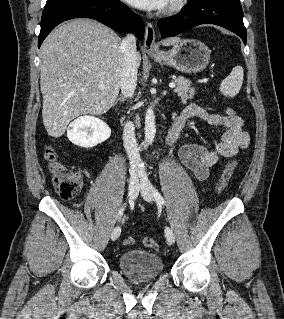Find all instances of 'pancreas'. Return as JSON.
I'll use <instances>...</instances> for the list:
<instances>
[{
	"label": "pancreas",
	"instance_id": "pancreas-1",
	"mask_svg": "<svg viewBox=\"0 0 284 319\" xmlns=\"http://www.w3.org/2000/svg\"><path fill=\"white\" fill-rule=\"evenodd\" d=\"M175 82L177 84L175 92L181 97L183 102L193 98L195 95V88L191 87V82L187 78L179 76L176 78Z\"/></svg>",
	"mask_w": 284,
	"mask_h": 319
}]
</instances>
